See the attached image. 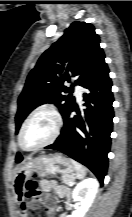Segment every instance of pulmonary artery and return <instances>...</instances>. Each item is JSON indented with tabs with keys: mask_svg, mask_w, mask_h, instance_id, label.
Wrapping results in <instances>:
<instances>
[{
	"mask_svg": "<svg viewBox=\"0 0 132 217\" xmlns=\"http://www.w3.org/2000/svg\"><path fill=\"white\" fill-rule=\"evenodd\" d=\"M75 95L79 101L82 99L83 89L80 86L75 87Z\"/></svg>",
	"mask_w": 132,
	"mask_h": 217,
	"instance_id": "pulmonary-artery-1",
	"label": "pulmonary artery"
}]
</instances>
